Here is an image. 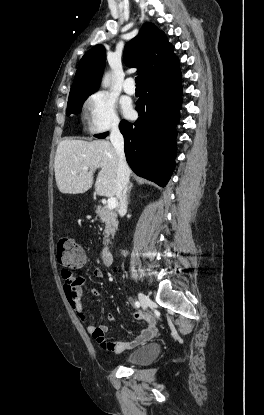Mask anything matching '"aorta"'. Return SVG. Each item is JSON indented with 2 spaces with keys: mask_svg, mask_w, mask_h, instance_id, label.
I'll use <instances>...</instances> for the list:
<instances>
[{
  "mask_svg": "<svg viewBox=\"0 0 264 415\" xmlns=\"http://www.w3.org/2000/svg\"><path fill=\"white\" fill-rule=\"evenodd\" d=\"M110 81H111V74L110 73L105 74L102 79V86L108 87L110 85Z\"/></svg>",
  "mask_w": 264,
  "mask_h": 415,
  "instance_id": "obj_1",
  "label": "aorta"
}]
</instances>
